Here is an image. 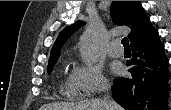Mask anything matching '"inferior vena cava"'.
I'll list each match as a JSON object with an SVG mask.
<instances>
[{"label": "inferior vena cava", "mask_w": 171, "mask_h": 110, "mask_svg": "<svg viewBox=\"0 0 171 110\" xmlns=\"http://www.w3.org/2000/svg\"><path fill=\"white\" fill-rule=\"evenodd\" d=\"M108 89H109V84L107 82L101 84V87H100L101 91H108ZM105 106L107 107L106 110H108L109 109L108 105L105 104Z\"/></svg>", "instance_id": "inferior-vena-cava-1"}]
</instances>
